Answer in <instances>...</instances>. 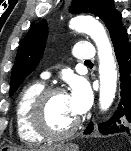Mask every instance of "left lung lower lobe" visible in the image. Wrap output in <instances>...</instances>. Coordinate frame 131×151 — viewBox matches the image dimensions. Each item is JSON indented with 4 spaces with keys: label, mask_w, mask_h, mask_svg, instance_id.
I'll return each mask as SVG.
<instances>
[{
    "label": "left lung lower lobe",
    "mask_w": 131,
    "mask_h": 151,
    "mask_svg": "<svg viewBox=\"0 0 131 151\" xmlns=\"http://www.w3.org/2000/svg\"><path fill=\"white\" fill-rule=\"evenodd\" d=\"M112 42L120 69L121 99L112 117L101 123L98 129L104 135L122 133L131 136V44L127 39V33ZM92 127L90 123L84 134H89Z\"/></svg>",
    "instance_id": "obj_1"
}]
</instances>
